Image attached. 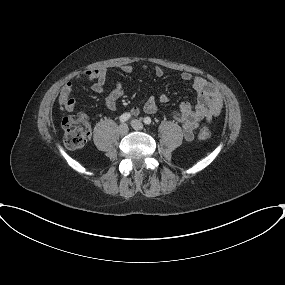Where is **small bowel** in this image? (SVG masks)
<instances>
[{"label":"small bowel","instance_id":"obj_1","mask_svg":"<svg viewBox=\"0 0 285 285\" xmlns=\"http://www.w3.org/2000/svg\"><path fill=\"white\" fill-rule=\"evenodd\" d=\"M123 73L129 74L132 72L131 65L121 66ZM144 69H146L144 67ZM153 73L157 77L164 75V70L156 66ZM181 78L184 81L190 82L193 89L197 94V102L195 105L189 102H182L178 110L173 111V117L182 124L184 138L187 141H192L194 138L195 130L198 128L202 120L211 121L218 116L223 108V100L218 89L205 78L193 75L189 72H183ZM96 80L92 84L91 89L96 94H102L105 90L107 81V72L104 69H90L86 70L77 76L74 80L68 81L63 85L60 90L58 102L62 108L69 112L76 109V100L70 97L73 87L78 81ZM124 95V89L120 81L116 82L114 89L108 92L105 97V105L115 110L118 100ZM169 98L162 94L158 98L150 97L144 104L143 110L148 114H153L157 110L158 102L167 103ZM132 114L137 115L140 110L135 107L131 110Z\"/></svg>","mask_w":285,"mask_h":285}]
</instances>
